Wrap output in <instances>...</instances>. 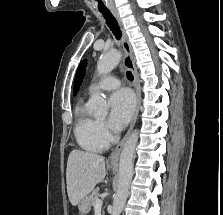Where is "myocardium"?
Listing matches in <instances>:
<instances>
[{"label": "myocardium", "mask_w": 223, "mask_h": 215, "mask_svg": "<svg viewBox=\"0 0 223 215\" xmlns=\"http://www.w3.org/2000/svg\"><path fill=\"white\" fill-rule=\"evenodd\" d=\"M116 140H117V137L115 136V137L112 138L111 141H112V142H115Z\"/></svg>", "instance_id": "myocardium-1"}]
</instances>
